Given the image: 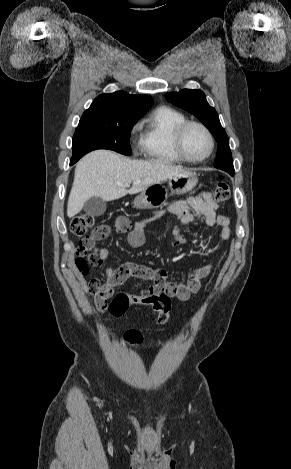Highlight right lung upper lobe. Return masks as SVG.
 I'll list each match as a JSON object with an SVG mask.
<instances>
[{"instance_id":"1","label":"right lung upper lobe","mask_w":291,"mask_h":469,"mask_svg":"<svg viewBox=\"0 0 291 469\" xmlns=\"http://www.w3.org/2000/svg\"><path fill=\"white\" fill-rule=\"evenodd\" d=\"M153 104L148 95H130L123 91L101 94L82 116L99 118H139Z\"/></svg>"}]
</instances>
